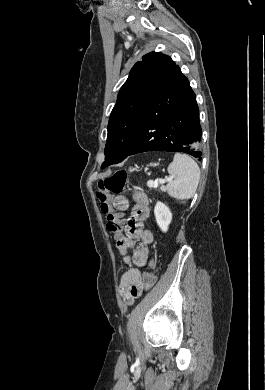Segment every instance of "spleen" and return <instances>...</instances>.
I'll use <instances>...</instances> for the list:
<instances>
[{"instance_id":"1","label":"spleen","mask_w":265,"mask_h":390,"mask_svg":"<svg viewBox=\"0 0 265 390\" xmlns=\"http://www.w3.org/2000/svg\"><path fill=\"white\" fill-rule=\"evenodd\" d=\"M167 170L173 177V180L166 186L169 195L181 202L193 197L200 179V169L197 163L187 155L175 154Z\"/></svg>"}]
</instances>
